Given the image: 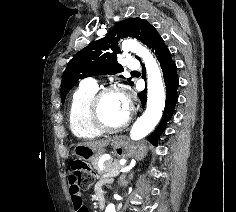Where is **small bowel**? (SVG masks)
<instances>
[{
  "instance_id": "obj_1",
  "label": "small bowel",
  "mask_w": 236,
  "mask_h": 212,
  "mask_svg": "<svg viewBox=\"0 0 236 212\" xmlns=\"http://www.w3.org/2000/svg\"><path fill=\"white\" fill-rule=\"evenodd\" d=\"M66 179L70 187L67 191L70 193L66 194L69 202H72L74 212H87L83 206L82 194L84 190L88 189L87 185H82L78 175H67Z\"/></svg>"
}]
</instances>
